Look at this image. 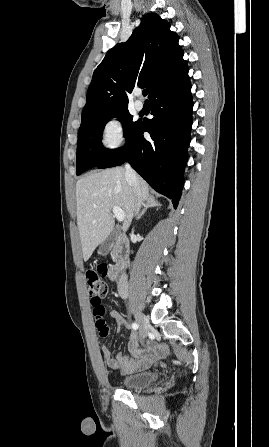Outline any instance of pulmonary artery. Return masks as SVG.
Here are the masks:
<instances>
[{
    "label": "pulmonary artery",
    "instance_id": "e3ab8cb5",
    "mask_svg": "<svg viewBox=\"0 0 269 447\" xmlns=\"http://www.w3.org/2000/svg\"><path fill=\"white\" fill-rule=\"evenodd\" d=\"M135 104H136V108H137L138 110H141V109H143V107H144V103H143V101H142L141 99H137L136 102H135Z\"/></svg>",
    "mask_w": 269,
    "mask_h": 447
}]
</instances>
